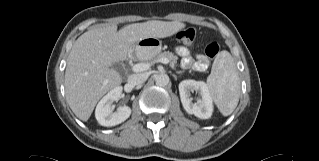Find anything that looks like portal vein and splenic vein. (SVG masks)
Returning <instances> with one entry per match:
<instances>
[{"label":"portal vein and splenic vein","instance_id":"18ae733b","mask_svg":"<svg viewBox=\"0 0 319 161\" xmlns=\"http://www.w3.org/2000/svg\"><path fill=\"white\" fill-rule=\"evenodd\" d=\"M158 62H161L163 64H168L169 60L167 58H162V59H159ZM149 68H150L149 63H138L132 67V70L134 72H143V71L148 70Z\"/></svg>","mask_w":319,"mask_h":161}]
</instances>
